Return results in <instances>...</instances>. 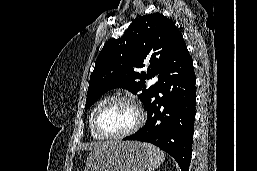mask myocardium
Wrapping results in <instances>:
<instances>
[{
	"label": "myocardium",
	"mask_w": 257,
	"mask_h": 171,
	"mask_svg": "<svg viewBox=\"0 0 257 171\" xmlns=\"http://www.w3.org/2000/svg\"><path fill=\"white\" fill-rule=\"evenodd\" d=\"M121 102L128 103L135 109L137 116H138L137 122L135 123V125L132 128H130L129 130H127L123 133L114 134V135L104 133L99 127L100 115L107 107H109L113 104H116V103H121ZM145 119H146V116H145V113H144L142 107L134 98H132L130 96H116V97H112V98L105 100L98 107V109L96 110L94 117H93V129H94L95 133L97 135H99L100 137H102L103 139H113V140L123 139V138L133 135L138 130H140V128L145 123Z\"/></svg>",
	"instance_id": "obj_1"
}]
</instances>
